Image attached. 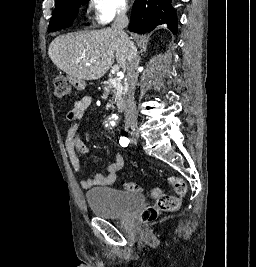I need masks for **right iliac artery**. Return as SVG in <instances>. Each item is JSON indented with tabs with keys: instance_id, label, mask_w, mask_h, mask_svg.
I'll return each instance as SVG.
<instances>
[{
	"instance_id": "right-iliac-artery-1",
	"label": "right iliac artery",
	"mask_w": 256,
	"mask_h": 267,
	"mask_svg": "<svg viewBox=\"0 0 256 267\" xmlns=\"http://www.w3.org/2000/svg\"><path fill=\"white\" fill-rule=\"evenodd\" d=\"M129 142H130V140H129L128 138H126V137H121V138H120V141H119V143H120L121 146H123V147L128 146Z\"/></svg>"
}]
</instances>
